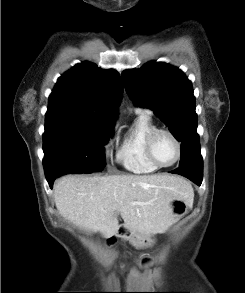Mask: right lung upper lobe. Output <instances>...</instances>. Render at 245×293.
Here are the masks:
<instances>
[{"mask_svg":"<svg viewBox=\"0 0 245 293\" xmlns=\"http://www.w3.org/2000/svg\"><path fill=\"white\" fill-rule=\"evenodd\" d=\"M117 71L82 62L60 78L49 97L46 118H64L113 126L121 100Z\"/></svg>","mask_w":245,"mask_h":293,"instance_id":"1","label":"right lung upper lobe"}]
</instances>
